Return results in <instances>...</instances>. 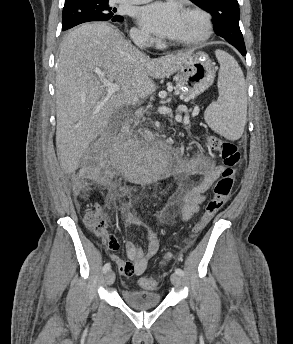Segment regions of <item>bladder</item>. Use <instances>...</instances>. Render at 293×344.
Segmentation results:
<instances>
[{"mask_svg":"<svg viewBox=\"0 0 293 344\" xmlns=\"http://www.w3.org/2000/svg\"><path fill=\"white\" fill-rule=\"evenodd\" d=\"M121 295L125 303L139 310L157 307L162 302L158 292L122 289Z\"/></svg>","mask_w":293,"mask_h":344,"instance_id":"bladder-1","label":"bladder"}]
</instances>
